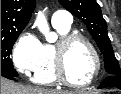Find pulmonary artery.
I'll return each mask as SVG.
<instances>
[{"label": "pulmonary artery", "mask_w": 121, "mask_h": 94, "mask_svg": "<svg viewBox=\"0 0 121 94\" xmlns=\"http://www.w3.org/2000/svg\"><path fill=\"white\" fill-rule=\"evenodd\" d=\"M52 23L70 26L72 23L71 14L65 10H58L52 16Z\"/></svg>", "instance_id": "e3ab8cb5"}]
</instances>
